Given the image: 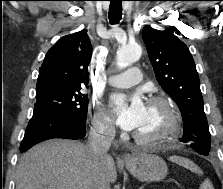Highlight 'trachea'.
I'll list each match as a JSON object with an SVG mask.
<instances>
[{"label":"trachea","mask_w":223,"mask_h":189,"mask_svg":"<svg viewBox=\"0 0 223 189\" xmlns=\"http://www.w3.org/2000/svg\"><path fill=\"white\" fill-rule=\"evenodd\" d=\"M109 20L111 24L118 23L122 18V0H110Z\"/></svg>","instance_id":"1"}]
</instances>
